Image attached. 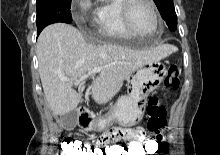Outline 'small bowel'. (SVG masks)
<instances>
[{
    "mask_svg": "<svg viewBox=\"0 0 220 155\" xmlns=\"http://www.w3.org/2000/svg\"><path fill=\"white\" fill-rule=\"evenodd\" d=\"M138 139H148L142 126H111V130H105V133H101V136L95 140V145L117 144V141H137Z\"/></svg>",
    "mask_w": 220,
    "mask_h": 155,
    "instance_id": "1",
    "label": "small bowel"
}]
</instances>
